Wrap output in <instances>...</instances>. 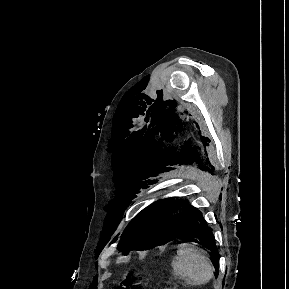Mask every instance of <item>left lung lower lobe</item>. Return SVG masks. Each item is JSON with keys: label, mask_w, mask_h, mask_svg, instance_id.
Returning a JSON list of instances; mask_svg holds the SVG:
<instances>
[{"label": "left lung lower lobe", "mask_w": 289, "mask_h": 289, "mask_svg": "<svg viewBox=\"0 0 289 289\" xmlns=\"http://www.w3.org/2000/svg\"><path fill=\"white\" fill-rule=\"evenodd\" d=\"M162 212L168 219L167 242L174 238L196 242L208 248L218 262V250L212 229L207 226L202 213L197 208L189 205L187 200H173L163 207ZM214 267L218 272L217 263Z\"/></svg>", "instance_id": "1"}]
</instances>
